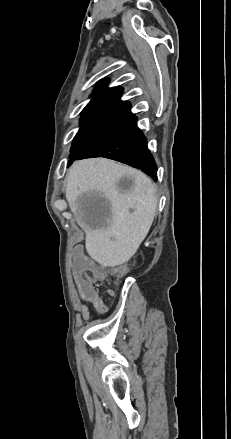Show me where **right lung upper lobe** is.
Listing matches in <instances>:
<instances>
[{
  "instance_id": "obj_1",
  "label": "right lung upper lobe",
  "mask_w": 231,
  "mask_h": 439,
  "mask_svg": "<svg viewBox=\"0 0 231 439\" xmlns=\"http://www.w3.org/2000/svg\"><path fill=\"white\" fill-rule=\"evenodd\" d=\"M107 83L108 80H102L96 85L93 91L94 97L83 109L81 116L128 120L133 114L130 111V104L120 100L123 88H108Z\"/></svg>"
}]
</instances>
